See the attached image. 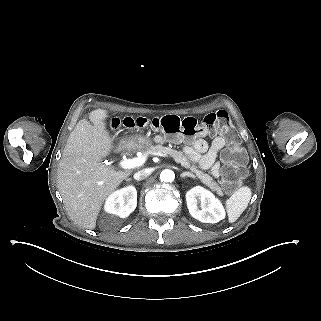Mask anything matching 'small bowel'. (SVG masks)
Masks as SVG:
<instances>
[{
  "instance_id": "c3829d8e",
  "label": "small bowel",
  "mask_w": 321,
  "mask_h": 321,
  "mask_svg": "<svg viewBox=\"0 0 321 321\" xmlns=\"http://www.w3.org/2000/svg\"><path fill=\"white\" fill-rule=\"evenodd\" d=\"M225 140L223 137H216L211 145L203 139H197L184 148L188 158L197 162L202 169H211V174L219 176L220 164L216 161L218 153L224 148Z\"/></svg>"
}]
</instances>
